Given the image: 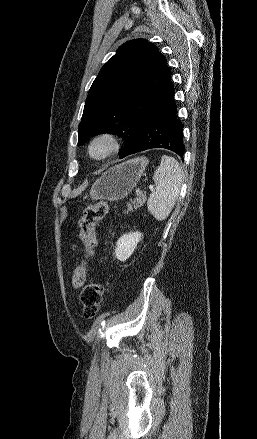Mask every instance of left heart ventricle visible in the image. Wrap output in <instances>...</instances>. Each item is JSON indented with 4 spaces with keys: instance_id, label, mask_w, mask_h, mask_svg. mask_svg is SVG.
I'll return each mask as SVG.
<instances>
[{
    "instance_id": "left-heart-ventricle-1",
    "label": "left heart ventricle",
    "mask_w": 257,
    "mask_h": 439,
    "mask_svg": "<svg viewBox=\"0 0 257 439\" xmlns=\"http://www.w3.org/2000/svg\"><path fill=\"white\" fill-rule=\"evenodd\" d=\"M106 146L104 144H99L95 147L94 152L100 154L105 150Z\"/></svg>"
}]
</instances>
